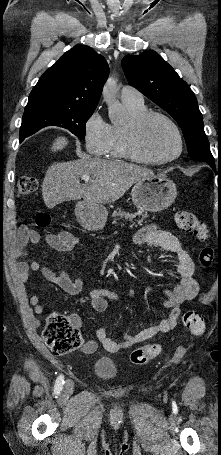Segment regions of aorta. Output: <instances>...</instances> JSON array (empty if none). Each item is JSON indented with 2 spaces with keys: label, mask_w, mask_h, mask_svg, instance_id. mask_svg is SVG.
I'll return each mask as SVG.
<instances>
[{
  "label": "aorta",
  "mask_w": 221,
  "mask_h": 455,
  "mask_svg": "<svg viewBox=\"0 0 221 455\" xmlns=\"http://www.w3.org/2000/svg\"><path fill=\"white\" fill-rule=\"evenodd\" d=\"M102 96L108 105V114L112 123L123 124L127 120L125 108L116 98V80L109 77L104 85Z\"/></svg>",
  "instance_id": "obj_1"
}]
</instances>
